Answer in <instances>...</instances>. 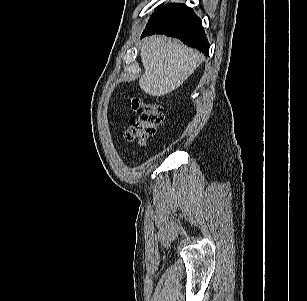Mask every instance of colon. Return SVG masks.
<instances>
[{"instance_id":"5ec220e1","label":"colon","mask_w":307,"mask_h":301,"mask_svg":"<svg viewBox=\"0 0 307 301\" xmlns=\"http://www.w3.org/2000/svg\"><path fill=\"white\" fill-rule=\"evenodd\" d=\"M136 117H133L125 138L130 142L142 143L152 136L162 121V109L159 105L143 101H134L132 104Z\"/></svg>"}]
</instances>
